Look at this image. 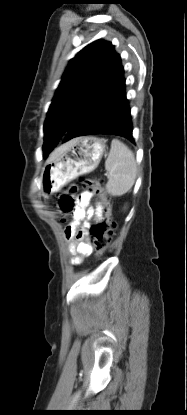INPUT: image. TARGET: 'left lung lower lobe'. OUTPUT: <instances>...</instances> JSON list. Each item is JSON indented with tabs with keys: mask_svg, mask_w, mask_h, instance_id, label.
I'll use <instances>...</instances> for the list:
<instances>
[{
	"mask_svg": "<svg viewBox=\"0 0 187 415\" xmlns=\"http://www.w3.org/2000/svg\"><path fill=\"white\" fill-rule=\"evenodd\" d=\"M90 95L91 99H97L98 109L93 115L80 119L68 131L63 142L94 134H110L134 142L124 69L115 50L97 78Z\"/></svg>",
	"mask_w": 187,
	"mask_h": 415,
	"instance_id": "0a47b994",
	"label": "left lung lower lobe"
}]
</instances>
